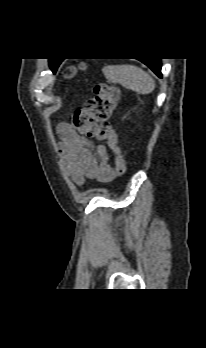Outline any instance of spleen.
I'll return each mask as SVG.
<instances>
[{"label": "spleen", "instance_id": "1", "mask_svg": "<svg viewBox=\"0 0 206 348\" xmlns=\"http://www.w3.org/2000/svg\"><path fill=\"white\" fill-rule=\"evenodd\" d=\"M103 73L108 81L118 83L137 94L147 95L155 89L154 79L135 65H112L104 67Z\"/></svg>", "mask_w": 206, "mask_h": 348}]
</instances>
